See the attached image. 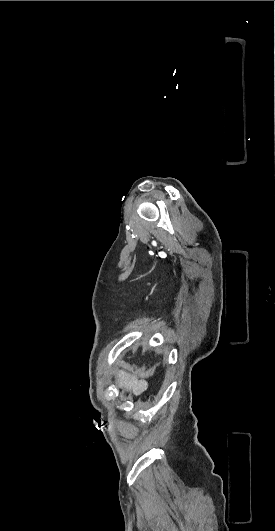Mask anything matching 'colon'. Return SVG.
Here are the masks:
<instances>
[{"label": "colon", "mask_w": 275, "mask_h": 531, "mask_svg": "<svg viewBox=\"0 0 275 531\" xmlns=\"http://www.w3.org/2000/svg\"><path fill=\"white\" fill-rule=\"evenodd\" d=\"M124 366L130 371L138 373L143 377L152 375L157 369V366L151 365V364L150 365H135V364L125 363Z\"/></svg>", "instance_id": "5ec220e1"}]
</instances>
